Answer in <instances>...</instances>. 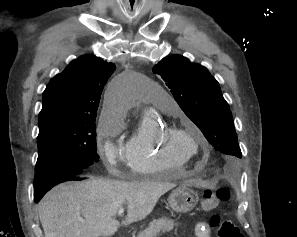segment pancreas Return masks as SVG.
I'll return each instance as SVG.
<instances>
[{
  "label": "pancreas",
  "instance_id": "1",
  "mask_svg": "<svg viewBox=\"0 0 297 237\" xmlns=\"http://www.w3.org/2000/svg\"><path fill=\"white\" fill-rule=\"evenodd\" d=\"M175 226V223L171 219L160 218L153 220L149 227L138 234L137 237H156L160 232H169Z\"/></svg>",
  "mask_w": 297,
  "mask_h": 237
}]
</instances>
